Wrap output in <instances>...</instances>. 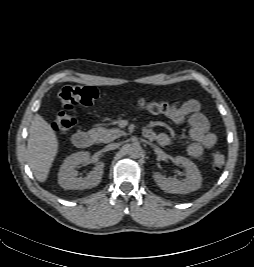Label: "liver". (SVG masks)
Listing matches in <instances>:
<instances>
[{
  "instance_id": "1",
  "label": "liver",
  "mask_w": 254,
  "mask_h": 267,
  "mask_svg": "<svg viewBox=\"0 0 254 267\" xmlns=\"http://www.w3.org/2000/svg\"><path fill=\"white\" fill-rule=\"evenodd\" d=\"M59 142L50 124L36 114L29 128L27 144L28 164L39 182L48 178L58 152Z\"/></svg>"
}]
</instances>
